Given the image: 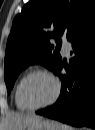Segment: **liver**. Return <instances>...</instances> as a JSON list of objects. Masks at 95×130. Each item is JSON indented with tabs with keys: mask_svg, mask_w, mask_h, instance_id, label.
Returning a JSON list of instances; mask_svg holds the SVG:
<instances>
[{
	"mask_svg": "<svg viewBox=\"0 0 95 130\" xmlns=\"http://www.w3.org/2000/svg\"><path fill=\"white\" fill-rule=\"evenodd\" d=\"M41 119L35 114H11L6 118L7 130H25L33 121Z\"/></svg>",
	"mask_w": 95,
	"mask_h": 130,
	"instance_id": "obj_1",
	"label": "liver"
}]
</instances>
